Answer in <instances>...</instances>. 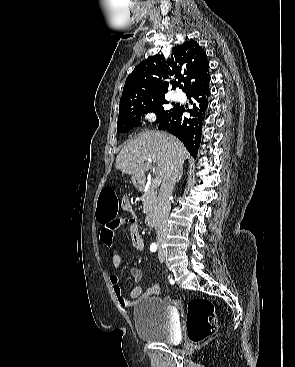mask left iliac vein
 Segmentation results:
<instances>
[{"label": "left iliac vein", "mask_w": 295, "mask_h": 367, "mask_svg": "<svg viewBox=\"0 0 295 367\" xmlns=\"http://www.w3.org/2000/svg\"><path fill=\"white\" fill-rule=\"evenodd\" d=\"M158 258L161 262H164L165 260V253L162 249L159 250V253H158Z\"/></svg>", "instance_id": "obj_1"}]
</instances>
